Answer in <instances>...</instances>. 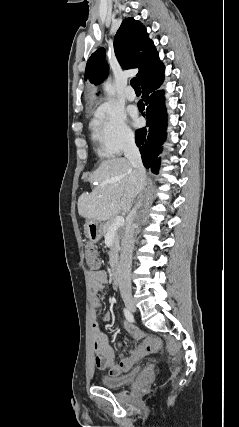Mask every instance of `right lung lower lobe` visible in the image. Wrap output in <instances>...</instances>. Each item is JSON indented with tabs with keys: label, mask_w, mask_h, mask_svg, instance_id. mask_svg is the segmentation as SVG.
I'll use <instances>...</instances> for the list:
<instances>
[{
	"label": "right lung lower lobe",
	"mask_w": 239,
	"mask_h": 427,
	"mask_svg": "<svg viewBox=\"0 0 239 427\" xmlns=\"http://www.w3.org/2000/svg\"><path fill=\"white\" fill-rule=\"evenodd\" d=\"M164 71L158 76L141 84L142 104L140 111L148 123L135 133L136 144L139 147L143 164L151 168L153 173H158L161 152V144L165 141V129L167 126L165 100L163 91H156L162 84ZM152 93L150 96L149 94Z\"/></svg>",
	"instance_id": "right-lung-lower-lobe-1"
}]
</instances>
